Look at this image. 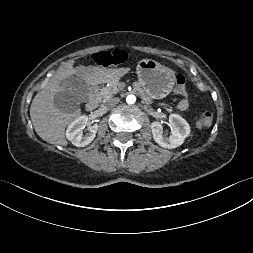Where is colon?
Masks as SVG:
<instances>
[{"instance_id": "5ec220e1", "label": "colon", "mask_w": 253, "mask_h": 253, "mask_svg": "<svg viewBox=\"0 0 253 253\" xmlns=\"http://www.w3.org/2000/svg\"><path fill=\"white\" fill-rule=\"evenodd\" d=\"M124 52L120 50L102 51L89 55L86 60L89 63L97 65H107L114 62H120L124 57ZM176 94L181 96L187 95V85L186 79L183 75L178 74L175 78V88ZM213 121V113L210 110H202L199 114L198 126L202 129H206L211 126Z\"/></svg>"}]
</instances>
